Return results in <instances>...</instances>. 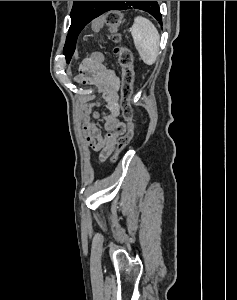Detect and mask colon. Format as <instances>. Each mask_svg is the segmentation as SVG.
Returning a JSON list of instances; mask_svg holds the SVG:
<instances>
[{
  "instance_id": "colon-1",
  "label": "colon",
  "mask_w": 237,
  "mask_h": 300,
  "mask_svg": "<svg viewBox=\"0 0 237 300\" xmlns=\"http://www.w3.org/2000/svg\"><path fill=\"white\" fill-rule=\"evenodd\" d=\"M123 22V15L119 10H111L103 16L94 19L92 22V30L99 31L106 26L113 34L115 42L120 41L118 28ZM118 63L122 72L121 99L120 107L122 116L126 122L127 130L118 140L116 144V152L112 156V162H115L122 150L130 143L134 135V119L133 110L130 104V98L134 85V57L131 50L125 46H118L115 49ZM88 63L100 65L104 62V57L99 53H94L85 59Z\"/></svg>"
}]
</instances>
